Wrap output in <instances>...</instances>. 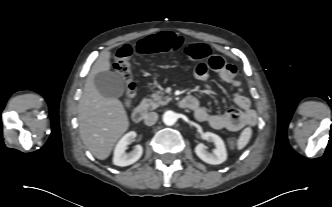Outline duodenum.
Listing matches in <instances>:
<instances>
[{
	"label": "duodenum",
	"mask_w": 332,
	"mask_h": 207,
	"mask_svg": "<svg viewBox=\"0 0 332 207\" xmlns=\"http://www.w3.org/2000/svg\"><path fill=\"white\" fill-rule=\"evenodd\" d=\"M195 97L191 96V95H187L184 96L181 100H180V106L182 108H187L190 109L194 103ZM145 112H146V106L144 104H140L139 106H137L133 111H132V120L135 123H140L143 121L144 117H145Z\"/></svg>",
	"instance_id": "410a0bca"
}]
</instances>
